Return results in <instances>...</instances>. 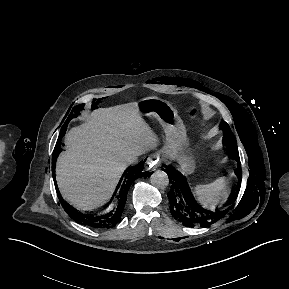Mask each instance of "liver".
I'll return each instance as SVG.
<instances>
[{
    "label": "liver",
    "instance_id": "1",
    "mask_svg": "<svg viewBox=\"0 0 289 289\" xmlns=\"http://www.w3.org/2000/svg\"><path fill=\"white\" fill-rule=\"evenodd\" d=\"M56 163L62 197L78 209L93 210L109 200L132 157L156 147L157 138L137 103L102 108L65 136Z\"/></svg>",
    "mask_w": 289,
    "mask_h": 289
}]
</instances>
